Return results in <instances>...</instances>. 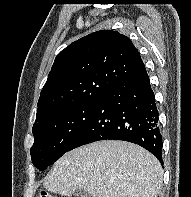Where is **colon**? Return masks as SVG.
I'll return each mask as SVG.
<instances>
[{
    "instance_id": "5ec220e1",
    "label": "colon",
    "mask_w": 191,
    "mask_h": 197,
    "mask_svg": "<svg viewBox=\"0 0 191 197\" xmlns=\"http://www.w3.org/2000/svg\"><path fill=\"white\" fill-rule=\"evenodd\" d=\"M37 197H53V196L46 191H42L38 194Z\"/></svg>"
}]
</instances>
